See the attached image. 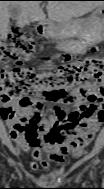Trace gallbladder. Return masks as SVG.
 Masks as SVG:
<instances>
[{
  "mask_svg": "<svg viewBox=\"0 0 104 189\" xmlns=\"http://www.w3.org/2000/svg\"><path fill=\"white\" fill-rule=\"evenodd\" d=\"M9 12H10V14L15 18V16L18 14V9H16V8L13 7V6H10Z\"/></svg>",
  "mask_w": 104,
  "mask_h": 189,
  "instance_id": "1",
  "label": "gallbladder"
}]
</instances>
